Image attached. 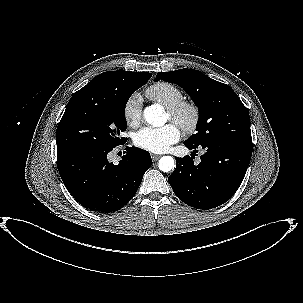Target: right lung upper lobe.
Instances as JSON below:
<instances>
[{"instance_id": "obj_1", "label": "right lung upper lobe", "mask_w": 303, "mask_h": 303, "mask_svg": "<svg viewBox=\"0 0 303 303\" xmlns=\"http://www.w3.org/2000/svg\"><path fill=\"white\" fill-rule=\"evenodd\" d=\"M151 73L130 72V71H108L101 73L91 80L87 85L81 88V91L89 92H107L120 88L125 82L137 78L149 77Z\"/></svg>"}]
</instances>
